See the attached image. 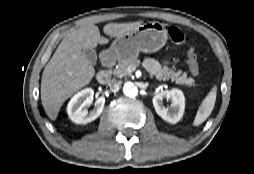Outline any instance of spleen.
Segmentation results:
<instances>
[{"label": "spleen", "instance_id": "1", "mask_svg": "<svg viewBox=\"0 0 254 174\" xmlns=\"http://www.w3.org/2000/svg\"><path fill=\"white\" fill-rule=\"evenodd\" d=\"M216 91L217 88L215 86L212 88V90L208 93V95L205 97V99L199 106V109L194 119L195 126L202 124L210 116L216 101Z\"/></svg>", "mask_w": 254, "mask_h": 174}]
</instances>
